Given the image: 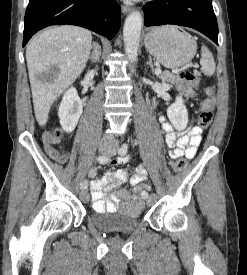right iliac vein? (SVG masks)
<instances>
[{
    "mask_svg": "<svg viewBox=\"0 0 247 275\" xmlns=\"http://www.w3.org/2000/svg\"><path fill=\"white\" fill-rule=\"evenodd\" d=\"M98 150L102 154H108L110 152V147L106 141H101L98 145ZM80 198L84 203H87L89 201V193L87 190H82L80 193Z\"/></svg>",
    "mask_w": 247,
    "mask_h": 275,
    "instance_id": "right-iliac-vein-1",
    "label": "right iliac vein"
}]
</instances>
